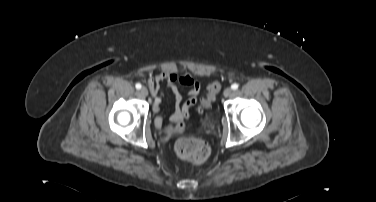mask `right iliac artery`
<instances>
[{
	"label": "right iliac artery",
	"mask_w": 376,
	"mask_h": 202,
	"mask_svg": "<svg viewBox=\"0 0 376 202\" xmlns=\"http://www.w3.org/2000/svg\"><path fill=\"white\" fill-rule=\"evenodd\" d=\"M135 87H136V89H141V84L140 83H137L136 85H135Z\"/></svg>",
	"instance_id": "obj_1"
}]
</instances>
